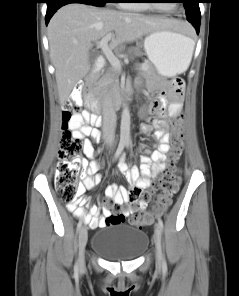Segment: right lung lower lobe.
Masks as SVG:
<instances>
[{"instance_id":"98d812e1","label":"right lung lower lobe","mask_w":239,"mask_h":296,"mask_svg":"<svg viewBox=\"0 0 239 296\" xmlns=\"http://www.w3.org/2000/svg\"><path fill=\"white\" fill-rule=\"evenodd\" d=\"M46 3H47V13H46L45 20L47 25L50 18L61 6L68 3H84V2L80 0H47Z\"/></svg>"}]
</instances>
